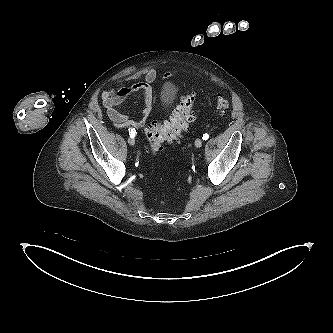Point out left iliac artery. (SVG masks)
Here are the masks:
<instances>
[{
    "instance_id": "1",
    "label": "left iliac artery",
    "mask_w": 333,
    "mask_h": 333,
    "mask_svg": "<svg viewBox=\"0 0 333 333\" xmlns=\"http://www.w3.org/2000/svg\"><path fill=\"white\" fill-rule=\"evenodd\" d=\"M209 138V135L207 133L203 134L202 139L207 140Z\"/></svg>"
}]
</instances>
